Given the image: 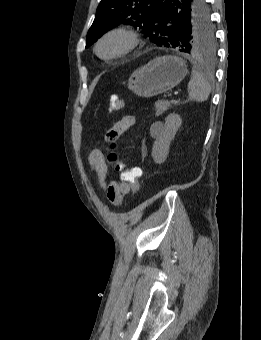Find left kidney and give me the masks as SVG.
<instances>
[{"mask_svg": "<svg viewBox=\"0 0 261 340\" xmlns=\"http://www.w3.org/2000/svg\"><path fill=\"white\" fill-rule=\"evenodd\" d=\"M182 119L180 115L172 113L165 119L164 130L154 141L152 148V158L155 163H163L168 154L171 141L174 140L176 132L181 127Z\"/></svg>", "mask_w": 261, "mask_h": 340, "instance_id": "1", "label": "left kidney"}]
</instances>
